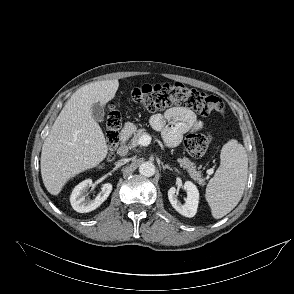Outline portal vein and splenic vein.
<instances>
[{
	"label": "portal vein and splenic vein",
	"mask_w": 294,
	"mask_h": 294,
	"mask_svg": "<svg viewBox=\"0 0 294 294\" xmlns=\"http://www.w3.org/2000/svg\"><path fill=\"white\" fill-rule=\"evenodd\" d=\"M152 140V137L148 134L143 135L139 138L138 144L142 146H148Z\"/></svg>",
	"instance_id": "portal-vein-and-splenic-vein-1"
}]
</instances>
